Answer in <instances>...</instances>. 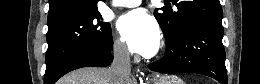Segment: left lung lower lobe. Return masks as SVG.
Listing matches in <instances>:
<instances>
[{
	"mask_svg": "<svg viewBox=\"0 0 260 84\" xmlns=\"http://www.w3.org/2000/svg\"><path fill=\"white\" fill-rule=\"evenodd\" d=\"M222 19L198 18L187 22L171 41L165 56L148 65L160 73H198L227 84Z\"/></svg>",
	"mask_w": 260,
	"mask_h": 84,
	"instance_id": "0a47b994",
	"label": "left lung lower lobe"
}]
</instances>
